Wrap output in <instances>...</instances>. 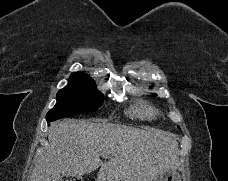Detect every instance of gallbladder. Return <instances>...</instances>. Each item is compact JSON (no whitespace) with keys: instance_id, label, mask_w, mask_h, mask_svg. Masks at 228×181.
<instances>
[{"instance_id":"bac80fb5","label":"gallbladder","mask_w":228,"mask_h":181,"mask_svg":"<svg viewBox=\"0 0 228 181\" xmlns=\"http://www.w3.org/2000/svg\"><path fill=\"white\" fill-rule=\"evenodd\" d=\"M64 177H69V173H63Z\"/></svg>"}]
</instances>
